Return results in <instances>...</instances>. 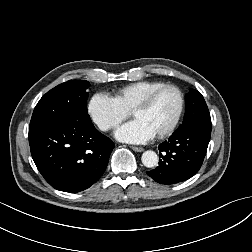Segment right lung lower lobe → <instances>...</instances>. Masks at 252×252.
<instances>
[{
  "mask_svg": "<svg viewBox=\"0 0 252 252\" xmlns=\"http://www.w3.org/2000/svg\"><path fill=\"white\" fill-rule=\"evenodd\" d=\"M32 158L55 189L80 192L104 173L115 147L92 123L59 120L29 127Z\"/></svg>",
  "mask_w": 252,
  "mask_h": 252,
  "instance_id": "obj_1",
  "label": "right lung lower lobe"
}]
</instances>
